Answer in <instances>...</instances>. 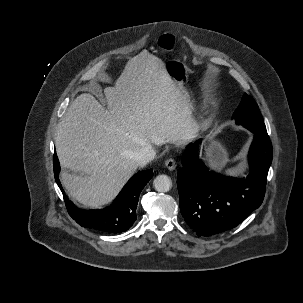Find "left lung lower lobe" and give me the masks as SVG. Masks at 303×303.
<instances>
[{
  "label": "left lung lower lobe",
  "instance_id": "left-lung-lower-lobe-1",
  "mask_svg": "<svg viewBox=\"0 0 303 303\" xmlns=\"http://www.w3.org/2000/svg\"><path fill=\"white\" fill-rule=\"evenodd\" d=\"M246 128L255 134L246 178L224 177L209 171L196 154L200 141L189 145L182 156L183 168L177 179L180 210L198 236H212L236 227L263 201L272 144L268 135Z\"/></svg>",
  "mask_w": 303,
  "mask_h": 303
}]
</instances>
